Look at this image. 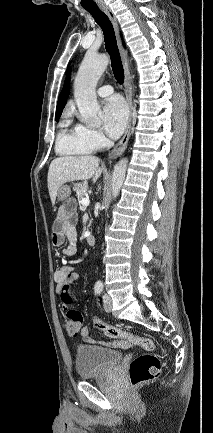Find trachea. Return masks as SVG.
<instances>
[{
    "label": "trachea",
    "instance_id": "1",
    "mask_svg": "<svg viewBox=\"0 0 213 433\" xmlns=\"http://www.w3.org/2000/svg\"><path fill=\"white\" fill-rule=\"evenodd\" d=\"M95 19L97 24L101 27L104 34L105 48L111 59V67L114 76L119 84L124 82V69L117 47L115 32L111 21L108 16L101 11L97 6L85 8Z\"/></svg>",
    "mask_w": 213,
    "mask_h": 433
}]
</instances>
